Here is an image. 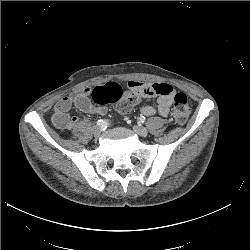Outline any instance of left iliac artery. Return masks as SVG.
Here are the masks:
<instances>
[{
    "label": "left iliac artery",
    "mask_w": 250,
    "mask_h": 250,
    "mask_svg": "<svg viewBox=\"0 0 250 250\" xmlns=\"http://www.w3.org/2000/svg\"><path fill=\"white\" fill-rule=\"evenodd\" d=\"M138 121H139V123H144L145 122V117L144 116L140 117L138 119Z\"/></svg>",
    "instance_id": "obj_1"
}]
</instances>
